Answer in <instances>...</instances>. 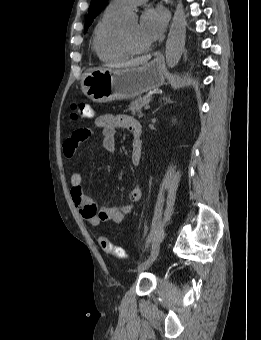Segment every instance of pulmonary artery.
<instances>
[{
  "mask_svg": "<svg viewBox=\"0 0 261 340\" xmlns=\"http://www.w3.org/2000/svg\"><path fill=\"white\" fill-rule=\"evenodd\" d=\"M147 0H112L109 6L115 10L126 12L130 7L145 3Z\"/></svg>",
  "mask_w": 261,
  "mask_h": 340,
  "instance_id": "obj_1",
  "label": "pulmonary artery"
}]
</instances>
